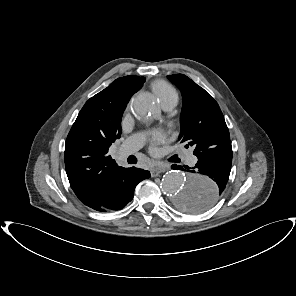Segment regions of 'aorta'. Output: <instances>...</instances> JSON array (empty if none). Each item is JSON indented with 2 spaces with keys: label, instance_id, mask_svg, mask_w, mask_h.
I'll list each match as a JSON object with an SVG mask.
<instances>
[{
  "label": "aorta",
  "instance_id": "aorta-1",
  "mask_svg": "<svg viewBox=\"0 0 296 296\" xmlns=\"http://www.w3.org/2000/svg\"><path fill=\"white\" fill-rule=\"evenodd\" d=\"M132 109L141 118H148L155 111V104L148 94H139L132 100ZM162 190L180 210L202 213L212 209L219 196L215 181L193 172L169 171L161 182Z\"/></svg>",
  "mask_w": 296,
  "mask_h": 296
}]
</instances>
